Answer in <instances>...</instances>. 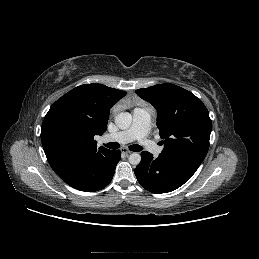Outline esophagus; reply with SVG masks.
Segmentation results:
<instances>
[{"instance_id": "34e87169", "label": "esophagus", "mask_w": 259, "mask_h": 259, "mask_svg": "<svg viewBox=\"0 0 259 259\" xmlns=\"http://www.w3.org/2000/svg\"><path fill=\"white\" fill-rule=\"evenodd\" d=\"M121 152H122L123 154H125V155H129V154L132 153L130 150H128V149H126V148L121 149Z\"/></svg>"}]
</instances>
